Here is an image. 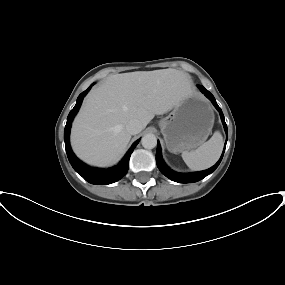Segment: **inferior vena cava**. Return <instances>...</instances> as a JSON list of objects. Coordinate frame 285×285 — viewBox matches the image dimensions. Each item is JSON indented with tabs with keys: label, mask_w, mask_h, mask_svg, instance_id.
I'll return each mask as SVG.
<instances>
[{
	"label": "inferior vena cava",
	"mask_w": 285,
	"mask_h": 285,
	"mask_svg": "<svg viewBox=\"0 0 285 285\" xmlns=\"http://www.w3.org/2000/svg\"><path fill=\"white\" fill-rule=\"evenodd\" d=\"M126 130L129 134L131 135H135V134H138L141 132L142 130V125L141 123L136 120V119H133V120H130L127 125H126Z\"/></svg>",
	"instance_id": "1"
}]
</instances>
